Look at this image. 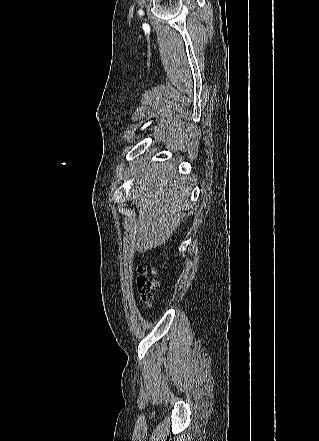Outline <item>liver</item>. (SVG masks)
<instances>
[{"mask_svg": "<svg viewBox=\"0 0 319 441\" xmlns=\"http://www.w3.org/2000/svg\"><path fill=\"white\" fill-rule=\"evenodd\" d=\"M130 200L138 209V222L130 229L132 248L145 252L165 244L185 216L190 190L186 177L179 176L174 162L148 165L142 157L134 174Z\"/></svg>", "mask_w": 319, "mask_h": 441, "instance_id": "obj_1", "label": "liver"}]
</instances>
